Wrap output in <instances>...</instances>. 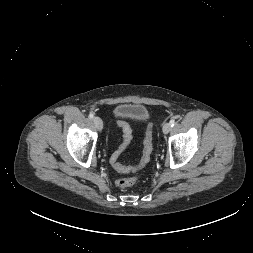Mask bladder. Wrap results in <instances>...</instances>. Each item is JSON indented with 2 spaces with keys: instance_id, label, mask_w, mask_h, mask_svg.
Instances as JSON below:
<instances>
[{
  "instance_id": "bladder-1",
  "label": "bladder",
  "mask_w": 253,
  "mask_h": 253,
  "mask_svg": "<svg viewBox=\"0 0 253 253\" xmlns=\"http://www.w3.org/2000/svg\"><path fill=\"white\" fill-rule=\"evenodd\" d=\"M114 117L118 121L131 120L144 123L150 118V114L148 109L142 104L124 103L115 108Z\"/></svg>"
}]
</instances>
